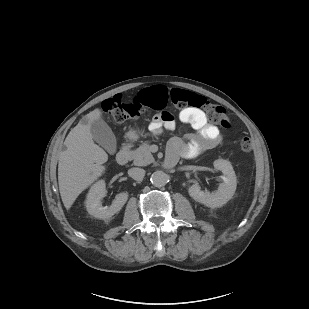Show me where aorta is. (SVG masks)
<instances>
[{
  "mask_svg": "<svg viewBox=\"0 0 309 309\" xmlns=\"http://www.w3.org/2000/svg\"><path fill=\"white\" fill-rule=\"evenodd\" d=\"M150 180L155 187H162L167 183L168 176L163 171H155Z\"/></svg>",
  "mask_w": 309,
  "mask_h": 309,
  "instance_id": "obj_1",
  "label": "aorta"
}]
</instances>
